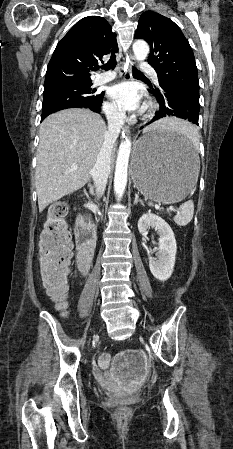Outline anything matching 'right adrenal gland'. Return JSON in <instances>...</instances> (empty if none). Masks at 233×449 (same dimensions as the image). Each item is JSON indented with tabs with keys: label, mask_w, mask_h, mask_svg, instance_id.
<instances>
[{
	"label": "right adrenal gland",
	"mask_w": 233,
	"mask_h": 449,
	"mask_svg": "<svg viewBox=\"0 0 233 449\" xmlns=\"http://www.w3.org/2000/svg\"><path fill=\"white\" fill-rule=\"evenodd\" d=\"M88 187H89V193L91 195H95L94 186L90 182L88 183Z\"/></svg>",
	"instance_id": "2a0ac1e0"
}]
</instances>
